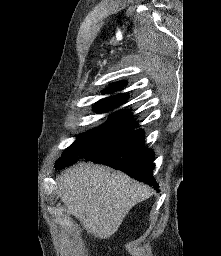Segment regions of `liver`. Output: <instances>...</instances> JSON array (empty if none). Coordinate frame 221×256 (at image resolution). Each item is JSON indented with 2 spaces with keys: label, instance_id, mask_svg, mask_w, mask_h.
I'll return each mask as SVG.
<instances>
[{
  "label": "liver",
  "instance_id": "6515ba94",
  "mask_svg": "<svg viewBox=\"0 0 221 256\" xmlns=\"http://www.w3.org/2000/svg\"><path fill=\"white\" fill-rule=\"evenodd\" d=\"M58 195L83 228L100 239L112 236L129 210L152 190L126 174L92 163H79L56 178Z\"/></svg>",
  "mask_w": 221,
  "mask_h": 256
}]
</instances>
